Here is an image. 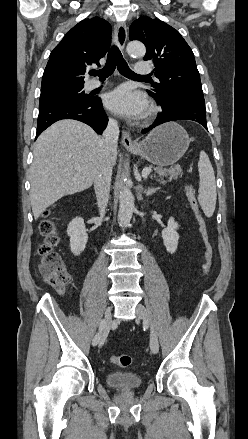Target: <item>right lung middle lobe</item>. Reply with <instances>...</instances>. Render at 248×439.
<instances>
[{"mask_svg":"<svg viewBox=\"0 0 248 439\" xmlns=\"http://www.w3.org/2000/svg\"><path fill=\"white\" fill-rule=\"evenodd\" d=\"M72 100L89 101V100H91V96L84 93L83 87H79V88H75V89H71V90H67V91H63V92H59V93L40 96L39 110H42L44 108H47V107H50V106H53V105H56L59 103L72 101Z\"/></svg>","mask_w":248,"mask_h":439,"instance_id":"1","label":"right lung middle lobe"}]
</instances>
